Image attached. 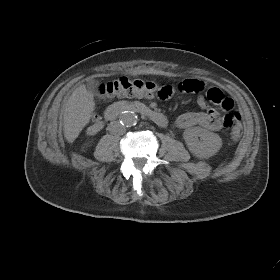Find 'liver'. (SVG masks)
Returning a JSON list of instances; mask_svg holds the SVG:
<instances>
[{
	"label": "liver",
	"mask_w": 280,
	"mask_h": 280,
	"mask_svg": "<svg viewBox=\"0 0 280 280\" xmlns=\"http://www.w3.org/2000/svg\"><path fill=\"white\" fill-rule=\"evenodd\" d=\"M95 110L94 96L85 85L77 87L68 98L64 107V136L68 142H73Z\"/></svg>",
	"instance_id": "obj_1"
}]
</instances>
